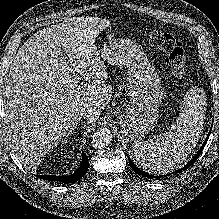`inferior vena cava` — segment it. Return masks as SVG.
<instances>
[{"instance_id":"1","label":"inferior vena cava","mask_w":219,"mask_h":219,"mask_svg":"<svg viewBox=\"0 0 219 219\" xmlns=\"http://www.w3.org/2000/svg\"><path fill=\"white\" fill-rule=\"evenodd\" d=\"M90 115H91V111L85 107H80L76 109L75 116L78 120L82 118H88Z\"/></svg>"}]
</instances>
